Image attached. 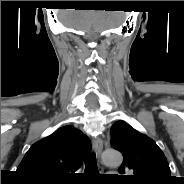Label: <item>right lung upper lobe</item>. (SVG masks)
Masks as SVG:
<instances>
[{
  "instance_id": "cb5924a9",
  "label": "right lung upper lobe",
  "mask_w": 184,
  "mask_h": 184,
  "mask_svg": "<svg viewBox=\"0 0 184 184\" xmlns=\"http://www.w3.org/2000/svg\"><path fill=\"white\" fill-rule=\"evenodd\" d=\"M91 149L89 138L73 126L66 125L34 143L17 168L27 181L63 184L73 180L82 165V156Z\"/></svg>"
}]
</instances>
